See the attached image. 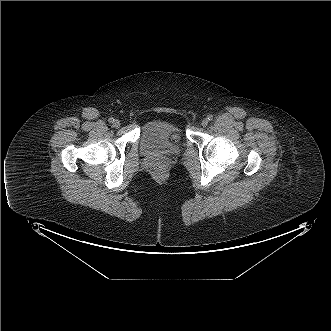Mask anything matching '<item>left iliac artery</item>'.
I'll return each mask as SVG.
<instances>
[{"label": "left iliac artery", "instance_id": "obj_1", "mask_svg": "<svg viewBox=\"0 0 331 331\" xmlns=\"http://www.w3.org/2000/svg\"><path fill=\"white\" fill-rule=\"evenodd\" d=\"M207 119H208L209 121H211V120L213 119V116H212V115H208Z\"/></svg>", "mask_w": 331, "mask_h": 331}]
</instances>
